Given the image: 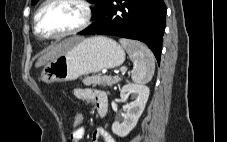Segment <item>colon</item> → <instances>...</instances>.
Listing matches in <instances>:
<instances>
[{
  "instance_id": "obj_1",
  "label": "colon",
  "mask_w": 227,
  "mask_h": 142,
  "mask_svg": "<svg viewBox=\"0 0 227 142\" xmlns=\"http://www.w3.org/2000/svg\"><path fill=\"white\" fill-rule=\"evenodd\" d=\"M84 127V118L79 111L73 112V131H78Z\"/></svg>"
}]
</instances>
